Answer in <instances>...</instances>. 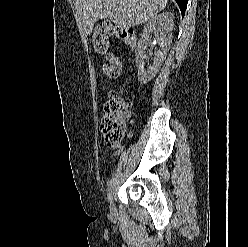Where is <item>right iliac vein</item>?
I'll list each match as a JSON object with an SVG mask.
<instances>
[{
  "label": "right iliac vein",
  "instance_id": "obj_1",
  "mask_svg": "<svg viewBox=\"0 0 248 247\" xmlns=\"http://www.w3.org/2000/svg\"><path fill=\"white\" fill-rule=\"evenodd\" d=\"M110 210L113 212L114 206H113V193L111 192V200H110Z\"/></svg>",
  "mask_w": 248,
  "mask_h": 247
}]
</instances>
